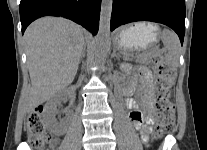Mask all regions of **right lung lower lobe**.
I'll use <instances>...</instances> for the list:
<instances>
[{"mask_svg": "<svg viewBox=\"0 0 207 150\" xmlns=\"http://www.w3.org/2000/svg\"><path fill=\"white\" fill-rule=\"evenodd\" d=\"M101 0H21L22 33L43 16H61L82 25L93 35L98 32Z\"/></svg>", "mask_w": 207, "mask_h": 150, "instance_id": "1", "label": "right lung lower lobe"}]
</instances>
